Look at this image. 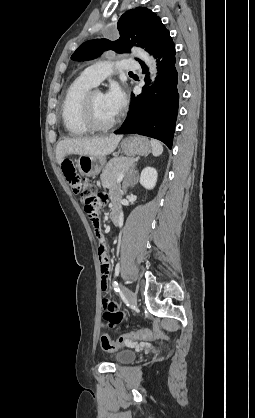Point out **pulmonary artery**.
Instances as JSON below:
<instances>
[{
	"mask_svg": "<svg viewBox=\"0 0 255 418\" xmlns=\"http://www.w3.org/2000/svg\"><path fill=\"white\" fill-rule=\"evenodd\" d=\"M139 67L140 66L136 61L129 59L118 61L115 64L100 62L86 68L82 73V76L96 86L114 70L135 71L138 70Z\"/></svg>",
	"mask_w": 255,
	"mask_h": 418,
	"instance_id": "pulmonary-artery-1",
	"label": "pulmonary artery"
}]
</instances>
